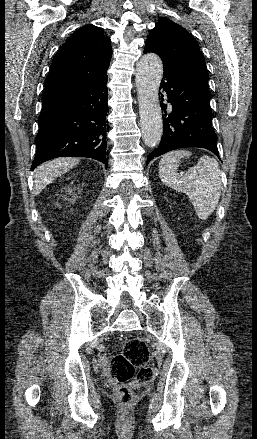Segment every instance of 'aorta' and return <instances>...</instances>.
<instances>
[{
	"mask_svg": "<svg viewBox=\"0 0 257 439\" xmlns=\"http://www.w3.org/2000/svg\"><path fill=\"white\" fill-rule=\"evenodd\" d=\"M162 74V61L155 53L143 55L137 63L136 86L142 139L151 148L158 145L163 132L158 94Z\"/></svg>",
	"mask_w": 257,
	"mask_h": 439,
	"instance_id": "762f6f07",
	"label": "aorta"
}]
</instances>
